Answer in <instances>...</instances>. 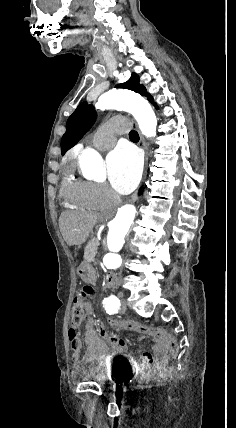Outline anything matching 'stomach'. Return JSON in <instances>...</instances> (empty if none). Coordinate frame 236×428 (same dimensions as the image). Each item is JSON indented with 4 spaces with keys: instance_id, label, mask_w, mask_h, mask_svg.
Listing matches in <instances>:
<instances>
[{
    "instance_id": "1",
    "label": "stomach",
    "mask_w": 236,
    "mask_h": 428,
    "mask_svg": "<svg viewBox=\"0 0 236 428\" xmlns=\"http://www.w3.org/2000/svg\"><path fill=\"white\" fill-rule=\"evenodd\" d=\"M79 278L82 279L84 286H95L98 282V275L95 273V268L91 261L86 260L79 267Z\"/></svg>"
}]
</instances>
